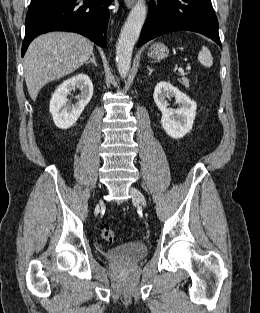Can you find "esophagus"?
Listing matches in <instances>:
<instances>
[{
    "label": "esophagus",
    "instance_id": "esophagus-1",
    "mask_svg": "<svg viewBox=\"0 0 260 313\" xmlns=\"http://www.w3.org/2000/svg\"><path fill=\"white\" fill-rule=\"evenodd\" d=\"M135 3V0H125V4L128 8H131Z\"/></svg>",
    "mask_w": 260,
    "mask_h": 313
}]
</instances>
